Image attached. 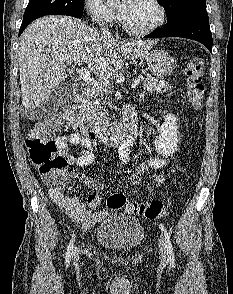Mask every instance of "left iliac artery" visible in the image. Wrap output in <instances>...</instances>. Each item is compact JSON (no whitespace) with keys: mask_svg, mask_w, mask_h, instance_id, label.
I'll return each mask as SVG.
<instances>
[{"mask_svg":"<svg viewBox=\"0 0 233 294\" xmlns=\"http://www.w3.org/2000/svg\"><path fill=\"white\" fill-rule=\"evenodd\" d=\"M160 229L163 232V237H164V241H165V246L167 249V260L170 264V266L174 267V263H175V255H174V251H173V246L170 240V235L167 232L166 228L164 227L163 224H160Z\"/></svg>","mask_w":233,"mask_h":294,"instance_id":"obj_1","label":"left iliac artery"}]
</instances>
